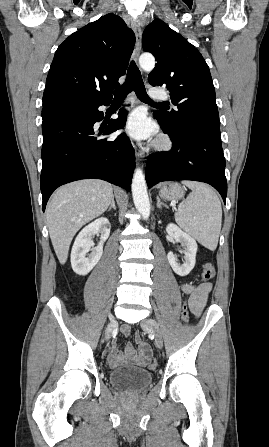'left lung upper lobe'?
<instances>
[{"mask_svg": "<svg viewBox=\"0 0 269 447\" xmlns=\"http://www.w3.org/2000/svg\"><path fill=\"white\" fill-rule=\"evenodd\" d=\"M142 46L157 61L148 76L152 86H164L176 110L155 111L170 129L206 130L220 135L215 89L200 52L180 34L156 19L142 36Z\"/></svg>", "mask_w": 269, "mask_h": 447, "instance_id": "left-lung-upper-lobe-1", "label": "left lung upper lobe"}]
</instances>
